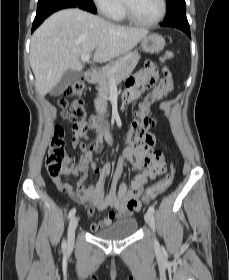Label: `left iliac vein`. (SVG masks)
<instances>
[{"label":"left iliac vein","mask_w":229,"mask_h":280,"mask_svg":"<svg viewBox=\"0 0 229 280\" xmlns=\"http://www.w3.org/2000/svg\"><path fill=\"white\" fill-rule=\"evenodd\" d=\"M145 221L147 222V224L150 226V228L152 230H154V224H155V220H154V215L151 211H147L145 213Z\"/></svg>","instance_id":"4c4485c4"}]
</instances>
